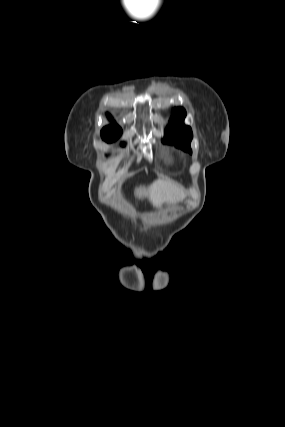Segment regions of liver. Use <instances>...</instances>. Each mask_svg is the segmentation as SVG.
I'll use <instances>...</instances> for the list:
<instances>
[{"instance_id": "6515ba94", "label": "liver", "mask_w": 285, "mask_h": 427, "mask_svg": "<svg viewBox=\"0 0 285 427\" xmlns=\"http://www.w3.org/2000/svg\"><path fill=\"white\" fill-rule=\"evenodd\" d=\"M135 196L139 199L148 198L153 206L159 208L163 203H176L184 199L186 193L170 180L157 179L147 188H136Z\"/></svg>"}]
</instances>
